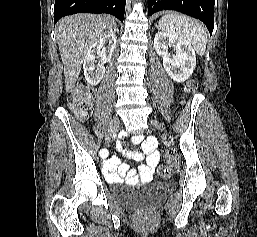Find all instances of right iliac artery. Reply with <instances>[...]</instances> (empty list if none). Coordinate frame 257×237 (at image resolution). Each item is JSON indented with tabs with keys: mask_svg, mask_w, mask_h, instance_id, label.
I'll return each instance as SVG.
<instances>
[{
	"mask_svg": "<svg viewBox=\"0 0 257 237\" xmlns=\"http://www.w3.org/2000/svg\"><path fill=\"white\" fill-rule=\"evenodd\" d=\"M100 155H101L102 157L106 156V155H107V151H106L105 149H102V150L100 151Z\"/></svg>",
	"mask_w": 257,
	"mask_h": 237,
	"instance_id": "obj_1",
	"label": "right iliac artery"
}]
</instances>
